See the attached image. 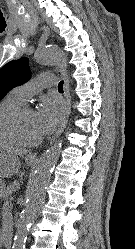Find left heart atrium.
I'll return each mask as SVG.
<instances>
[{"mask_svg":"<svg viewBox=\"0 0 135 249\" xmlns=\"http://www.w3.org/2000/svg\"><path fill=\"white\" fill-rule=\"evenodd\" d=\"M64 104L59 98H44L35 112V122L40 135L52 132L60 122Z\"/></svg>","mask_w":135,"mask_h":249,"instance_id":"39dd6f15","label":"left heart atrium"}]
</instances>
